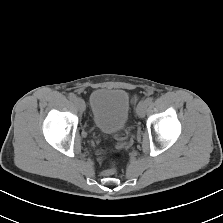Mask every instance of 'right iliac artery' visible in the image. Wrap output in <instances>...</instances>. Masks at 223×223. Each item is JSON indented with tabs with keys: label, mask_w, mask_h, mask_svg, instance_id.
<instances>
[{
	"label": "right iliac artery",
	"mask_w": 223,
	"mask_h": 223,
	"mask_svg": "<svg viewBox=\"0 0 223 223\" xmlns=\"http://www.w3.org/2000/svg\"><path fill=\"white\" fill-rule=\"evenodd\" d=\"M68 98H69L71 101H75V99H76V95H75L74 93H69Z\"/></svg>",
	"instance_id": "right-iliac-artery-1"
}]
</instances>
